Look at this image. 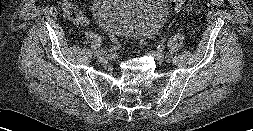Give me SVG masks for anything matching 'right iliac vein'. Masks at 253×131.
Listing matches in <instances>:
<instances>
[{"mask_svg":"<svg viewBox=\"0 0 253 131\" xmlns=\"http://www.w3.org/2000/svg\"><path fill=\"white\" fill-rule=\"evenodd\" d=\"M95 55V54H94ZM96 56V55H95ZM100 60H104V56L102 54H100L99 56H97Z\"/></svg>","mask_w":253,"mask_h":131,"instance_id":"63e3f726","label":"right iliac vein"}]
</instances>
